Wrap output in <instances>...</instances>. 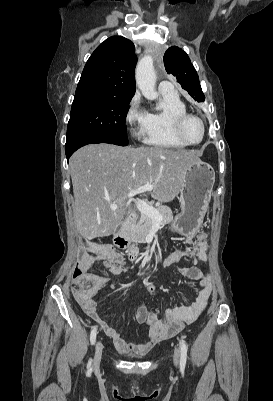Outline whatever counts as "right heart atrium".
<instances>
[{
    "mask_svg": "<svg viewBox=\"0 0 273 401\" xmlns=\"http://www.w3.org/2000/svg\"><path fill=\"white\" fill-rule=\"evenodd\" d=\"M147 111L141 104V99L135 95L129 102L126 112V122L129 125L131 135L141 139L146 132Z\"/></svg>",
    "mask_w": 273,
    "mask_h": 401,
    "instance_id": "right-heart-atrium-1",
    "label": "right heart atrium"
}]
</instances>
